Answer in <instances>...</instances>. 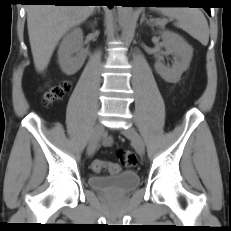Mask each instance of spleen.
<instances>
[{
    "instance_id": "3e777b00",
    "label": "spleen",
    "mask_w": 231,
    "mask_h": 231,
    "mask_svg": "<svg viewBox=\"0 0 231 231\" xmlns=\"http://www.w3.org/2000/svg\"><path fill=\"white\" fill-rule=\"evenodd\" d=\"M156 11L171 19H176L175 25L187 32L202 45L209 41V27L204 14L197 8L189 7H162Z\"/></svg>"
}]
</instances>
